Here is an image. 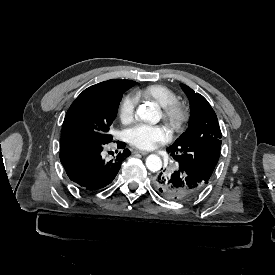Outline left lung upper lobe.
Returning a JSON list of instances; mask_svg holds the SVG:
<instances>
[{
	"mask_svg": "<svg viewBox=\"0 0 275 275\" xmlns=\"http://www.w3.org/2000/svg\"><path fill=\"white\" fill-rule=\"evenodd\" d=\"M181 88L190 101L189 126L167 151L179 165L208 181L218 162L221 147L217 116L202 95L185 84H181Z\"/></svg>",
	"mask_w": 275,
	"mask_h": 275,
	"instance_id": "5c2ea615",
	"label": "left lung upper lobe"
}]
</instances>
